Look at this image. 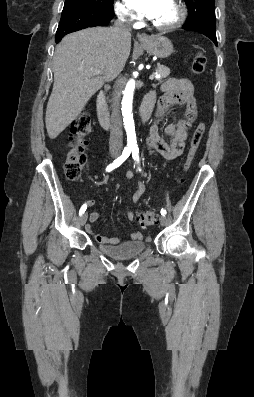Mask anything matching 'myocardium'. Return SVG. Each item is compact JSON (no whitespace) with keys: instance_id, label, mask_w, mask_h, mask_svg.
Listing matches in <instances>:
<instances>
[{"instance_id":"myocardium-1","label":"myocardium","mask_w":254,"mask_h":397,"mask_svg":"<svg viewBox=\"0 0 254 397\" xmlns=\"http://www.w3.org/2000/svg\"><path fill=\"white\" fill-rule=\"evenodd\" d=\"M172 1L174 2V4L178 9L177 19L174 22L167 25H159V24H155L154 22H151L152 27H154L159 31H171L180 27L184 23L187 16V10L184 3L181 0H172Z\"/></svg>"}]
</instances>
